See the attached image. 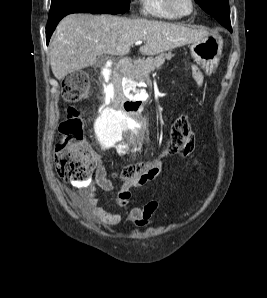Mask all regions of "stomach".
<instances>
[{"label": "stomach", "instance_id": "stomach-1", "mask_svg": "<svg viewBox=\"0 0 267 298\" xmlns=\"http://www.w3.org/2000/svg\"><path fill=\"white\" fill-rule=\"evenodd\" d=\"M223 48V41L218 35H208L202 41L194 42L190 46L193 59L206 73H211L219 63Z\"/></svg>", "mask_w": 267, "mask_h": 298}]
</instances>
